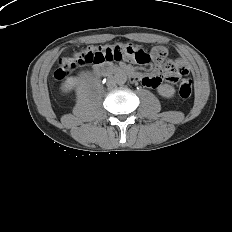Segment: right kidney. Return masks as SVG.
Returning a JSON list of instances; mask_svg holds the SVG:
<instances>
[{
  "label": "right kidney",
  "mask_w": 232,
  "mask_h": 232,
  "mask_svg": "<svg viewBox=\"0 0 232 232\" xmlns=\"http://www.w3.org/2000/svg\"><path fill=\"white\" fill-rule=\"evenodd\" d=\"M77 85L78 80L76 78H69L61 85V90L64 93H68L73 90Z\"/></svg>",
  "instance_id": "obj_1"
}]
</instances>
